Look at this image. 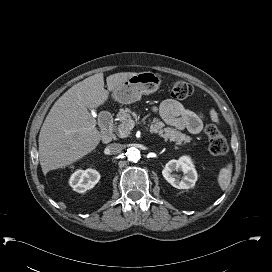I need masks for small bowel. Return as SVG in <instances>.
<instances>
[{
  "label": "small bowel",
  "instance_id": "small-bowel-1",
  "mask_svg": "<svg viewBox=\"0 0 272 272\" xmlns=\"http://www.w3.org/2000/svg\"><path fill=\"white\" fill-rule=\"evenodd\" d=\"M158 114L167 124L181 130L187 129L193 134L202 130L205 120L203 113L187 109L173 99L164 100L159 106ZM210 117L213 121L218 122V116L214 109L210 110Z\"/></svg>",
  "mask_w": 272,
  "mask_h": 272
}]
</instances>
